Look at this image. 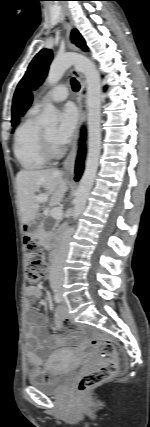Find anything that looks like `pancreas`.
<instances>
[{
	"label": "pancreas",
	"mask_w": 150,
	"mask_h": 427,
	"mask_svg": "<svg viewBox=\"0 0 150 427\" xmlns=\"http://www.w3.org/2000/svg\"><path fill=\"white\" fill-rule=\"evenodd\" d=\"M58 225V222H56L55 223V226H57ZM48 237V235L44 232V230L43 229H41L40 230V232H39V238L41 239V240H44V239H46Z\"/></svg>",
	"instance_id": "pancreas-1"
}]
</instances>
